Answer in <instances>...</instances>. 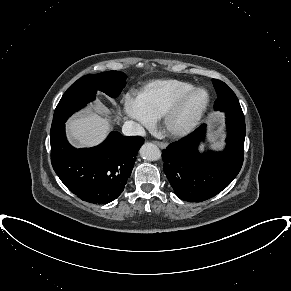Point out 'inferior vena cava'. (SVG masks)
<instances>
[{"label": "inferior vena cava", "mask_w": 291, "mask_h": 291, "mask_svg": "<svg viewBox=\"0 0 291 291\" xmlns=\"http://www.w3.org/2000/svg\"><path fill=\"white\" fill-rule=\"evenodd\" d=\"M122 132L126 136H145L144 128L134 121H126L122 127Z\"/></svg>", "instance_id": "602c4592"}]
</instances>
